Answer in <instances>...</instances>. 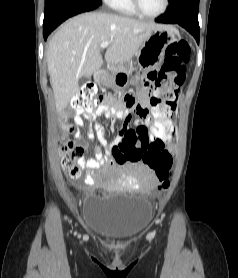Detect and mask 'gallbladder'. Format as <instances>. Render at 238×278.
Wrapping results in <instances>:
<instances>
[{
  "instance_id": "1",
  "label": "gallbladder",
  "mask_w": 238,
  "mask_h": 278,
  "mask_svg": "<svg viewBox=\"0 0 238 278\" xmlns=\"http://www.w3.org/2000/svg\"><path fill=\"white\" fill-rule=\"evenodd\" d=\"M88 81L87 77H82L79 79V85H83L84 83H86Z\"/></svg>"
}]
</instances>
